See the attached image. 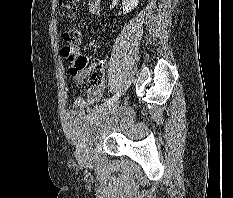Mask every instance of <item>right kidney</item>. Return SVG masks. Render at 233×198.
<instances>
[{
	"instance_id": "ca27d5eb",
	"label": "right kidney",
	"mask_w": 233,
	"mask_h": 198,
	"mask_svg": "<svg viewBox=\"0 0 233 198\" xmlns=\"http://www.w3.org/2000/svg\"><path fill=\"white\" fill-rule=\"evenodd\" d=\"M139 0H122L123 13H129L138 5Z\"/></svg>"
}]
</instances>
